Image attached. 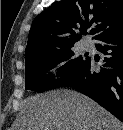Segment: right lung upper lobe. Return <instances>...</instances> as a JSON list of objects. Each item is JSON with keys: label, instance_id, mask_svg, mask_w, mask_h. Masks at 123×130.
Instances as JSON below:
<instances>
[{"label": "right lung upper lobe", "instance_id": "obj_1", "mask_svg": "<svg viewBox=\"0 0 123 130\" xmlns=\"http://www.w3.org/2000/svg\"><path fill=\"white\" fill-rule=\"evenodd\" d=\"M94 39L123 25V0H65L53 3L33 21L25 59L73 47L85 30ZM81 31L78 33L77 31Z\"/></svg>", "mask_w": 123, "mask_h": 130}]
</instances>
